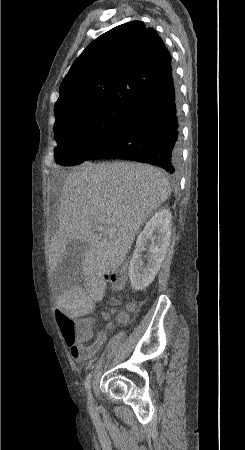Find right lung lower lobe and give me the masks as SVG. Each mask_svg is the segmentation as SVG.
Here are the masks:
<instances>
[{"label":"right lung lower lobe","instance_id":"98d812e1","mask_svg":"<svg viewBox=\"0 0 245 450\" xmlns=\"http://www.w3.org/2000/svg\"><path fill=\"white\" fill-rule=\"evenodd\" d=\"M179 116L178 89L172 73L132 107L122 135L88 160L128 159L154 164L176 174L181 163Z\"/></svg>","mask_w":245,"mask_h":450}]
</instances>
